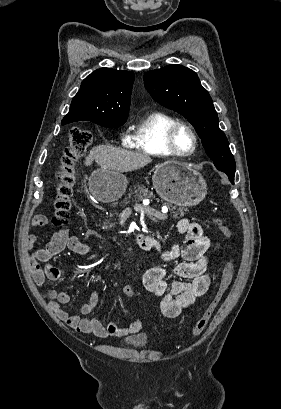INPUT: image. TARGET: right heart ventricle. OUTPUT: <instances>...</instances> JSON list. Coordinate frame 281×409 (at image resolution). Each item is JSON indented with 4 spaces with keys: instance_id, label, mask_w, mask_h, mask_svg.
Wrapping results in <instances>:
<instances>
[{
    "instance_id": "1",
    "label": "right heart ventricle",
    "mask_w": 281,
    "mask_h": 409,
    "mask_svg": "<svg viewBox=\"0 0 281 409\" xmlns=\"http://www.w3.org/2000/svg\"><path fill=\"white\" fill-rule=\"evenodd\" d=\"M180 120L165 111H152L139 120L126 140V146L134 152L153 158L176 156L168 146V135Z\"/></svg>"
}]
</instances>
